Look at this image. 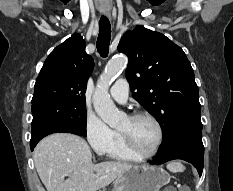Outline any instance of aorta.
I'll list each match as a JSON object with an SVG mask.
<instances>
[{
  "label": "aorta",
  "mask_w": 233,
  "mask_h": 191,
  "mask_svg": "<svg viewBox=\"0 0 233 191\" xmlns=\"http://www.w3.org/2000/svg\"><path fill=\"white\" fill-rule=\"evenodd\" d=\"M127 63L128 59L125 55L113 58L100 76L93 95V105L97 115L112 128H117L125 115L114 105L108 89L112 79L125 68Z\"/></svg>",
  "instance_id": "762f6f07"
}]
</instances>
